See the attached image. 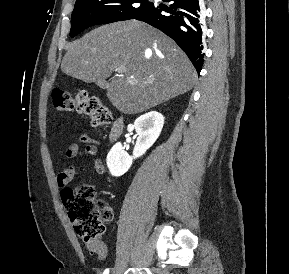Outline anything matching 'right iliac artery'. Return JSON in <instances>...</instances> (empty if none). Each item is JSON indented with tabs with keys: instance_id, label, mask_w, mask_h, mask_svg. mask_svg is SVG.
Segmentation results:
<instances>
[{
	"instance_id": "right-iliac-artery-1",
	"label": "right iliac artery",
	"mask_w": 289,
	"mask_h": 274,
	"mask_svg": "<svg viewBox=\"0 0 289 274\" xmlns=\"http://www.w3.org/2000/svg\"><path fill=\"white\" fill-rule=\"evenodd\" d=\"M103 274H109V269H108V268L105 269L104 272H103Z\"/></svg>"
}]
</instances>
